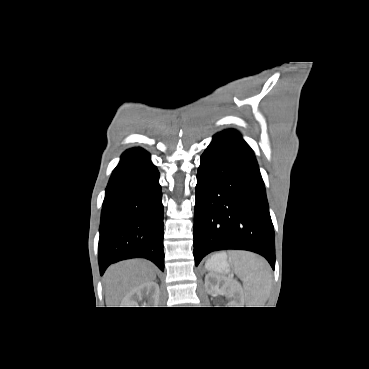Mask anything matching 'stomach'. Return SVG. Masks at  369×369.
<instances>
[{
    "label": "stomach",
    "mask_w": 369,
    "mask_h": 369,
    "mask_svg": "<svg viewBox=\"0 0 369 369\" xmlns=\"http://www.w3.org/2000/svg\"><path fill=\"white\" fill-rule=\"evenodd\" d=\"M206 268L218 273H228L230 268L225 253H218L209 259L206 264Z\"/></svg>",
    "instance_id": "1"
}]
</instances>
